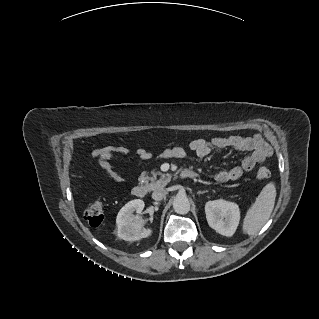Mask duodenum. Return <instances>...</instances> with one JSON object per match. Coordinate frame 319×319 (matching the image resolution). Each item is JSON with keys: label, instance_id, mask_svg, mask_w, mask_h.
I'll return each instance as SVG.
<instances>
[{"label": "duodenum", "instance_id": "1", "mask_svg": "<svg viewBox=\"0 0 319 319\" xmlns=\"http://www.w3.org/2000/svg\"><path fill=\"white\" fill-rule=\"evenodd\" d=\"M198 174L193 170H184L180 173L181 178H196ZM147 189L144 185L138 184L133 187L132 194L137 198H144L146 196Z\"/></svg>", "mask_w": 319, "mask_h": 319}]
</instances>
